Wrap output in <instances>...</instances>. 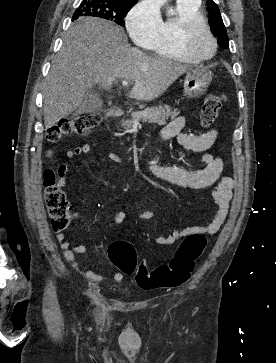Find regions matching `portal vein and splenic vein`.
I'll return each instance as SVG.
<instances>
[{
	"label": "portal vein and splenic vein",
	"instance_id": "portal-vein-and-splenic-vein-1",
	"mask_svg": "<svg viewBox=\"0 0 276 363\" xmlns=\"http://www.w3.org/2000/svg\"><path fill=\"white\" fill-rule=\"evenodd\" d=\"M122 85H123V86H127V85H128V82H127L126 80H123V81H122ZM141 114H142V115H146V113H145V112H141Z\"/></svg>",
	"mask_w": 276,
	"mask_h": 363
}]
</instances>
